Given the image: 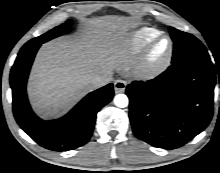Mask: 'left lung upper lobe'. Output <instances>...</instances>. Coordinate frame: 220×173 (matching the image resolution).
Returning a JSON list of instances; mask_svg holds the SVG:
<instances>
[{"label":"left lung upper lobe","instance_id":"left-lung-upper-lobe-1","mask_svg":"<svg viewBox=\"0 0 220 173\" xmlns=\"http://www.w3.org/2000/svg\"><path fill=\"white\" fill-rule=\"evenodd\" d=\"M174 42L172 63H178L189 58H209L204 45L193 35L179 31L173 27L169 29Z\"/></svg>","mask_w":220,"mask_h":173}]
</instances>
